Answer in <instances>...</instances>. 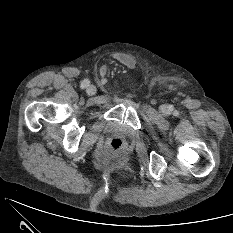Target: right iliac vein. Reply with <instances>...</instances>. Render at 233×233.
<instances>
[{
    "instance_id": "1",
    "label": "right iliac vein",
    "mask_w": 233,
    "mask_h": 233,
    "mask_svg": "<svg viewBox=\"0 0 233 233\" xmlns=\"http://www.w3.org/2000/svg\"><path fill=\"white\" fill-rule=\"evenodd\" d=\"M97 89L94 85H88L86 88V92L88 95H95Z\"/></svg>"
}]
</instances>
